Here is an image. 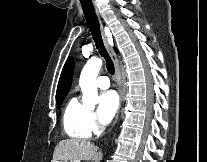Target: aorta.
Listing matches in <instances>:
<instances>
[{"label": "aorta", "instance_id": "obj_1", "mask_svg": "<svg viewBox=\"0 0 207 162\" xmlns=\"http://www.w3.org/2000/svg\"><path fill=\"white\" fill-rule=\"evenodd\" d=\"M101 67L102 60L100 58H91L84 66L80 75L79 85L83 93L82 101L90 107L95 106L99 101L96 78Z\"/></svg>", "mask_w": 207, "mask_h": 162}]
</instances>
